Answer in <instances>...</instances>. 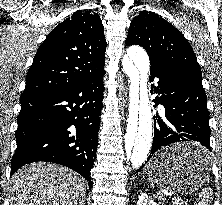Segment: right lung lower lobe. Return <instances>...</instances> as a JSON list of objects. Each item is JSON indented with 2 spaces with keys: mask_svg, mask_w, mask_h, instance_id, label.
<instances>
[{
  "mask_svg": "<svg viewBox=\"0 0 222 205\" xmlns=\"http://www.w3.org/2000/svg\"><path fill=\"white\" fill-rule=\"evenodd\" d=\"M104 74L70 87L22 94L11 174L31 162H54L75 170L92 187Z\"/></svg>",
  "mask_w": 222,
  "mask_h": 205,
  "instance_id": "right-lung-lower-lobe-1",
  "label": "right lung lower lobe"
}]
</instances>
